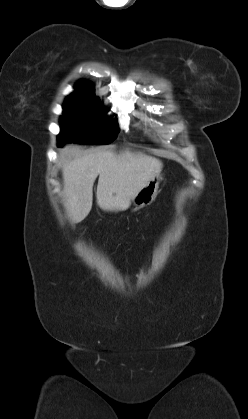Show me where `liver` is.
Here are the masks:
<instances>
[{"label":"liver","instance_id":"liver-1","mask_svg":"<svg viewBox=\"0 0 248 419\" xmlns=\"http://www.w3.org/2000/svg\"><path fill=\"white\" fill-rule=\"evenodd\" d=\"M60 155L64 206L72 223L81 222L89 214L98 176V206L118 212L128 209L136 194L162 169L159 159L129 150L81 154L78 147L66 146Z\"/></svg>","mask_w":248,"mask_h":419}]
</instances>
